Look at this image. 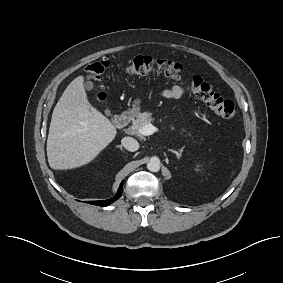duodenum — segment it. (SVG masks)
<instances>
[{
	"instance_id": "obj_1",
	"label": "duodenum",
	"mask_w": 283,
	"mask_h": 283,
	"mask_svg": "<svg viewBox=\"0 0 283 283\" xmlns=\"http://www.w3.org/2000/svg\"><path fill=\"white\" fill-rule=\"evenodd\" d=\"M133 117H134L133 111H125V112L121 113L120 115H117L114 118L113 122H114V125L117 128H123L131 122Z\"/></svg>"
}]
</instances>
